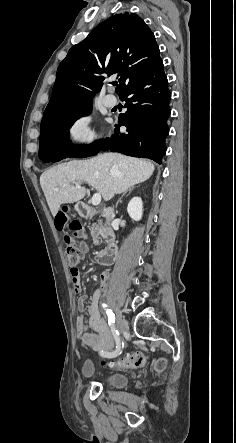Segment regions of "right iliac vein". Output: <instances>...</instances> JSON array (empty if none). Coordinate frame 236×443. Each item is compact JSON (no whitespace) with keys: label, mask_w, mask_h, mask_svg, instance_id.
Wrapping results in <instances>:
<instances>
[{"label":"right iliac vein","mask_w":236,"mask_h":443,"mask_svg":"<svg viewBox=\"0 0 236 443\" xmlns=\"http://www.w3.org/2000/svg\"><path fill=\"white\" fill-rule=\"evenodd\" d=\"M127 326V322L124 318L119 317L117 320V329L119 332H122Z\"/></svg>","instance_id":"right-iliac-vein-1"}]
</instances>
